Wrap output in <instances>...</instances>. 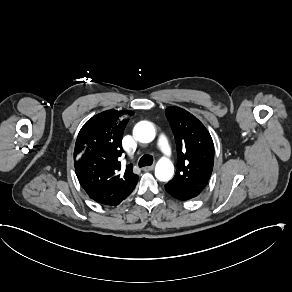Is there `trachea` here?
<instances>
[{
	"instance_id": "trachea-1",
	"label": "trachea",
	"mask_w": 292,
	"mask_h": 292,
	"mask_svg": "<svg viewBox=\"0 0 292 292\" xmlns=\"http://www.w3.org/2000/svg\"><path fill=\"white\" fill-rule=\"evenodd\" d=\"M154 159L151 155L145 154L143 155L140 160H139V167H145V166H150L152 165Z\"/></svg>"
}]
</instances>
